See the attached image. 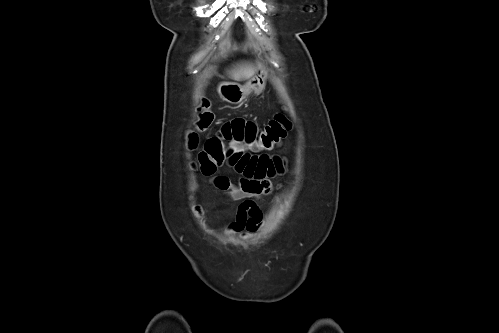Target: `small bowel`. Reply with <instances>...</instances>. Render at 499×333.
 Wrapping results in <instances>:
<instances>
[{"label": "small bowel", "mask_w": 499, "mask_h": 333, "mask_svg": "<svg viewBox=\"0 0 499 333\" xmlns=\"http://www.w3.org/2000/svg\"><path fill=\"white\" fill-rule=\"evenodd\" d=\"M261 130L252 122L243 119H234L226 123L219 134L230 146L227 148L229 162L242 174L237 184H232L228 178L219 176L215 179L216 185L228 192L229 196L242 201L237 210L236 219L230 224V232H255L262 221V214L255 200L269 194L272 184L268 180L281 168V161L275 156L267 154L266 150L250 153L248 150L238 151L233 142L244 144L247 147L257 145Z\"/></svg>", "instance_id": "obj_1"}]
</instances>
